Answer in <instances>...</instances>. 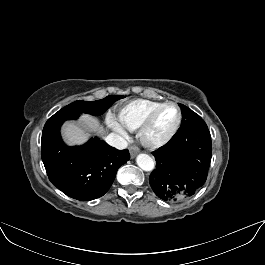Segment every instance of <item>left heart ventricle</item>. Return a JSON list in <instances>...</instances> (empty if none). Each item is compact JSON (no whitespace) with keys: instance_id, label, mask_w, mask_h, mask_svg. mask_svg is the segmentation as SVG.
<instances>
[{"instance_id":"obj_1","label":"left heart ventricle","mask_w":265,"mask_h":265,"mask_svg":"<svg viewBox=\"0 0 265 265\" xmlns=\"http://www.w3.org/2000/svg\"><path fill=\"white\" fill-rule=\"evenodd\" d=\"M177 119V111L172 106L161 108L154 117L147 136L151 140L162 138L173 127Z\"/></svg>"}]
</instances>
